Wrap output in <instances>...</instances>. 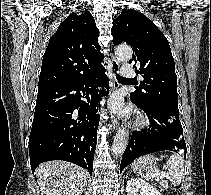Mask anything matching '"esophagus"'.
<instances>
[{"label":"esophagus","instance_id":"esophagus-1","mask_svg":"<svg viewBox=\"0 0 211 195\" xmlns=\"http://www.w3.org/2000/svg\"><path fill=\"white\" fill-rule=\"evenodd\" d=\"M119 69H120V65H119L118 61L114 57H112L111 73H112V77H113V80H112V88L113 89H117L119 86L118 81L116 80V75L119 74ZM111 122H112V126L114 129L120 128V123L117 118L112 117Z\"/></svg>","mask_w":211,"mask_h":195}]
</instances>
